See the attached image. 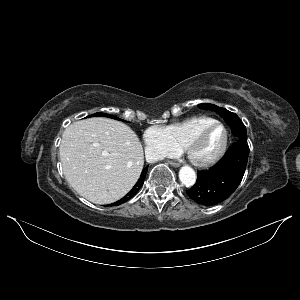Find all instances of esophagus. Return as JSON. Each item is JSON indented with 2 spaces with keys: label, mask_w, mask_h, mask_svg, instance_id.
Masks as SVG:
<instances>
[{
  "label": "esophagus",
  "mask_w": 300,
  "mask_h": 300,
  "mask_svg": "<svg viewBox=\"0 0 300 300\" xmlns=\"http://www.w3.org/2000/svg\"><path fill=\"white\" fill-rule=\"evenodd\" d=\"M168 163H169L171 166H174V167H179V166H180V163H178V162L169 161Z\"/></svg>",
  "instance_id": "obj_1"
}]
</instances>
